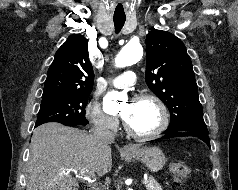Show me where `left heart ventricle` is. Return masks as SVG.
<instances>
[{"mask_svg": "<svg viewBox=\"0 0 238 190\" xmlns=\"http://www.w3.org/2000/svg\"><path fill=\"white\" fill-rule=\"evenodd\" d=\"M121 114L128 125L137 132H150L160 123L156 105L149 100H133L123 104Z\"/></svg>", "mask_w": 238, "mask_h": 190, "instance_id": "left-heart-ventricle-1", "label": "left heart ventricle"}]
</instances>
